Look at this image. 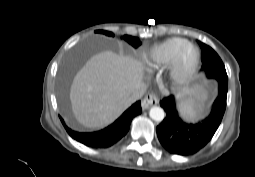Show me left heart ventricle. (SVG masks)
I'll return each instance as SVG.
<instances>
[{
  "mask_svg": "<svg viewBox=\"0 0 255 177\" xmlns=\"http://www.w3.org/2000/svg\"><path fill=\"white\" fill-rule=\"evenodd\" d=\"M191 57H192V50L189 49V50L186 52V54H185V63H188L189 60L191 59Z\"/></svg>",
  "mask_w": 255,
  "mask_h": 177,
  "instance_id": "b2bd125f",
  "label": "left heart ventricle"
}]
</instances>
